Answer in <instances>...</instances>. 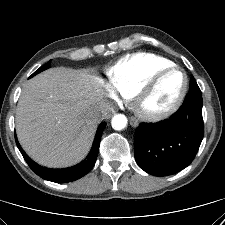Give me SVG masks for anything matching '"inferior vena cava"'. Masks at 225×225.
<instances>
[{"label": "inferior vena cava", "instance_id": "602c4592", "mask_svg": "<svg viewBox=\"0 0 225 225\" xmlns=\"http://www.w3.org/2000/svg\"><path fill=\"white\" fill-rule=\"evenodd\" d=\"M114 111V106L111 102L108 101H103L100 104L99 110L96 113V118L98 121L104 120L106 118H108L111 113Z\"/></svg>", "mask_w": 225, "mask_h": 225}]
</instances>
